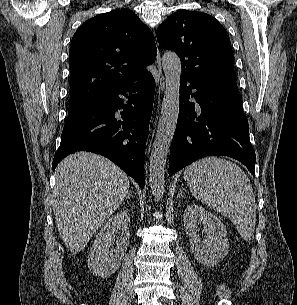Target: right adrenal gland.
Here are the masks:
<instances>
[{"label": "right adrenal gland", "mask_w": 297, "mask_h": 305, "mask_svg": "<svg viewBox=\"0 0 297 305\" xmlns=\"http://www.w3.org/2000/svg\"><path fill=\"white\" fill-rule=\"evenodd\" d=\"M127 197H132V193L131 191H129L128 196Z\"/></svg>", "instance_id": "right-adrenal-gland-1"}]
</instances>
